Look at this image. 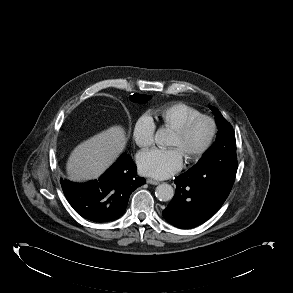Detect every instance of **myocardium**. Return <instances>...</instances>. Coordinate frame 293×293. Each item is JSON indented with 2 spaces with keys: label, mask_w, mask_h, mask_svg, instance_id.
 I'll list each match as a JSON object with an SVG mask.
<instances>
[{
  "label": "myocardium",
  "mask_w": 293,
  "mask_h": 293,
  "mask_svg": "<svg viewBox=\"0 0 293 293\" xmlns=\"http://www.w3.org/2000/svg\"><path fill=\"white\" fill-rule=\"evenodd\" d=\"M202 121H206L209 123L210 134L207 141L204 143V145L200 149H198L194 153L185 155V158L189 161H195L200 159L212 147L218 132L217 122L211 116L201 114L199 116L192 118L187 123H185L182 127L175 130V134L178 135L180 138H186L192 132V130Z\"/></svg>",
  "instance_id": "f54148a6"
}]
</instances>
